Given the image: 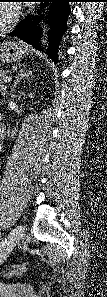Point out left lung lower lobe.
<instances>
[{
	"label": "left lung lower lobe",
	"instance_id": "0a47b994",
	"mask_svg": "<svg viewBox=\"0 0 107 297\" xmlns=\"http://www.w3.org/2000/svg\"><path fill=\"white\" fill-rule=\"evenodd\" d=\"M35 2H53L51 5L50 13L48 15V23L51 27L49 31L50 41L46 50L49 56L57 62V52L60 44L61 37L67 29V18L70 14L69 2L71 0H34ZM47 6V3L42 5ZM41 7V8H42ZM37 16H34V20H37ZM32 20L28 15L23 21L19 23L14 31L9 36H16L21 40L31 44L36 49H44L39 44V38L41 37L39 28L36 21Z\"/></svg>",
	"mask_w": 107,
	"mask_h": 297
}]
</instances>
